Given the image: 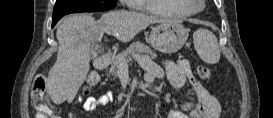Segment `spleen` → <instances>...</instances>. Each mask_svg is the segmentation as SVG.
<instances>
[{
	"instance_id": "obj_1",
	"label": "spleen",
	"mask_w": 273,
	"mask_h": 118,
	"mask_svg": "<svg viewBox=\"0 0 273 118\" xmlns=\"http://www.w3.org/2000/svg\"><path fill=\"white\" fill-rule=\"evenodd\" d=\"M194 47L199 57L207 64L220 60V49L216 36L209 30L198 29L193 34Z\"/></svg>"
}]
</instances>
